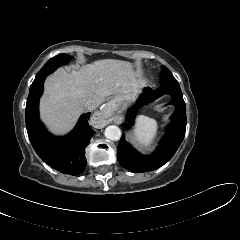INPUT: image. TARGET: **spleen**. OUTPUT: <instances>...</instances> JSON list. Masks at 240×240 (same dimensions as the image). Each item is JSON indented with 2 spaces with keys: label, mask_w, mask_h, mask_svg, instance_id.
<instances>
[{
  "label": "spleen",
  "mask_w": 240,
  "mask_h": 240,
  "mask_svg": "<svg viewBox=\"0 0 240 240\" xmlns=\"http://www.w3.org/2000/svg\"><path fill=\"white\" fill-rule=\"evenodd\" d=\"M158 131V123L149 117L138 116L133 130L134 139L138 144L144 147L150 146Z\"/></svg>",
  "instance_id": "spleen-1"
}]
</instances>
